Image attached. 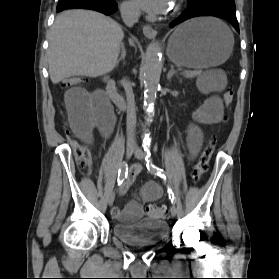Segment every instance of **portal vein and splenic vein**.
<instances>
[{"instance_id": "18ae733b", "label": "portal vein and splenic vein", "mask_w": 279, "mask_h": 279, "mask_svg": "<svg viewBox=\"0 0 279 279\" xmlns=\"http://www.w3.org/2000/svg\"><path fill=\"white\" fill-rule=\"evenodd\" d=\"M200 74V71H184L183 75H185L186 77H192V76H196Z\"/></svg>"}]
</instances>
